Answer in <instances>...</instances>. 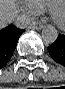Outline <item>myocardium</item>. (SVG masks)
Masks as SVG:
<instances>
[{
  "instance_id": "1",
  "label": "myocardium",
  "mask_w": 65,
  "mask_h": 89,
  "mask_svg": "<svg viewBox=\"0 0 65 89\" xmlns=\"http://www.w3.org/2000/svg\"><path fill=\"white\" fill-rule=\"evenodd\" d=\"M63 11V13H61ZM50 15L52 20L59 26H65V6L61 4H55L50 9Z\"/></svg>"
}]
</instances>
